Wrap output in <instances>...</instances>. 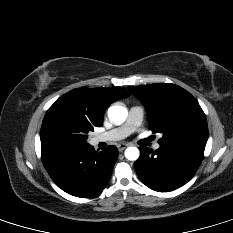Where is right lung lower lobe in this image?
<instances>
[{"label":"right lung lower lobe","mask_w":233,"mask_h":233,"mask_svg":"<svg viewBox=\"0 0 233 233\" xmlns=\"http://www.w3.org/2000/svg\"><path fill=\"white\" fill-rule=\"evenodd\" d=\"M43 165L52 180L62 190L76 197H89L101 191L109 182L118 159L115 146L97 153L89 144L41 145Z\"/></svg>","instance_id":"obj_1"}]
</instances>
